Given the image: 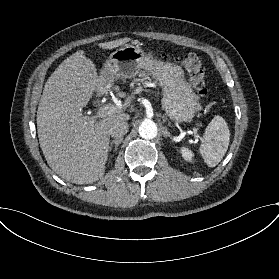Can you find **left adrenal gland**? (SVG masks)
Here are the masks:
<instances>
[{
	"label": "left adrenal gland",
	"instance_id": "left-adrenal-gland-1",
	"mask_svg": "<svg viewBox=\"0 0 279 279\" xmlns=\"http://www.w3.org/2000/svg\"><path fill=\"white\" fill-rule=\"evenodd\" d=\"M162 134L163 138H170L172 141H174L173 136L168 132V129L166 127L162 128Z\"/></svg>",
	"mask_w": 279,
	"mask_h": 279
}]
</instances>
